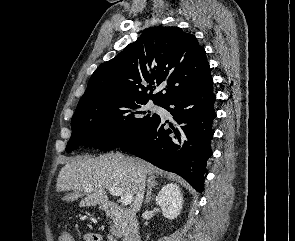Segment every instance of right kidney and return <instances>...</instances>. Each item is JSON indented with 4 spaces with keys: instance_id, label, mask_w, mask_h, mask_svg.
<instances>
[{
    "instance_id": "ca27d5eb",
    "label": "right kidney",
    "mask_w": 295,
    "mask_h": 241,
    "mask_svg": "<svg viewBox=\"0 0 295 241\" xmlns=\"http://www.w3.org/2000/svg\"><path fill=\"white\" fill-rule=\"evenodd\" d=\"M155 201L162 209L165 218L170 220L177 218L183 205V197L179 186L173 183L163 186Z\"/></svg>"
}]
</instances>
